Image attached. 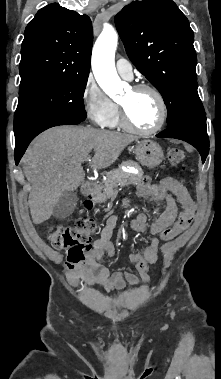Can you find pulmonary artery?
<instances>
[{
	"label": "pulmonary artery",
	"mask_w": 221,
	"mask_h": 379,
	"mask_svg": "<svg viewBox=\"0 0 221 379\" xmlns=\"http://www.w3.org/2000/svg\"><path fill=\"white\" fill-rule=\"evenodd\" d=\"M116 70H117L118 74L124 79L131 80L133 77L132 65L126 59L117 60Z\"/></svg>",
	"instance_id": "obj_1"
}]
</instances>
